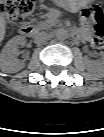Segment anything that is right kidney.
Masks as SVG:
<instances>
[{"label": "right kidney", "instance_id": "ca27d5eb", "mask_svg": "<svg viewBox=\"0 0 104 137\" xmlns=\"http://www.w3.org/2000/svg\"><path fill=\"white\" fill-rule=\"evenodd\" d=\"M26 38L15 36L10 39L0 53V69L5 73H16L20 71L24 64L16 59L18 47L24 46Z\"/></svg>", "mask_w": 104, "mask_h": 137}]
</instances>
